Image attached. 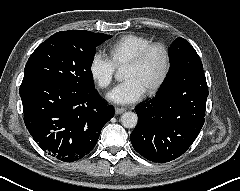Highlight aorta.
<instances>
[{"label":"aorta","instance_id":"762f6f07","mask_svg":"<svg viewBox=\"0 0 240 191\" xmlns=\"http://www.w3.org/2000/svg\"><path fill=\"white\" fill-rule=\"evenodd\" d=\"M115 78L118 81H121L123 79L122 71L118 70L115 74ZM121 123L125 128H134L137 125L138 122V116L134 112H125L121 116Z\"/></svg>","mask_w":240,"mask_h":191}]
</instances>
